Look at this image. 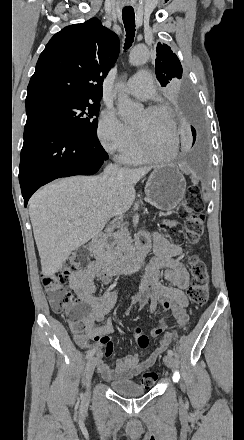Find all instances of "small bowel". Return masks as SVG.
Here are the masks:
<instances>
[{
  "instance_id": "1",
  "label": "small bowel",
  "mask_w": 244,
  "mask_h": 440,
  "mask_svg": "<svg viewBox=\"0 0 244 440\" xmlns=\"http://www.w3.org/2000/svg\"><path fill=\"white\" fill-rule=\"evenodd\" d=\"M141 242L147 247L153 246L155 257L147 266L139 293L133 297L132 302L143 306L149 301L151 312L155 311L158 305L171 311L176 319L177 330H182L189 323L186 310L189 302L184 292L189 286V275L179 260L182 248L157 232L142 233ZM161 276L169 285L162 283ZM95 277H98L104 285L110 284L113 280V274L106 272L100 262H93L70 276V287L77 299L87 307H91L92 311L89 316L91 326L86 327L87 337L73 338L74 342L84 351L87 348L95 349L96 354L92 361L105 380L131 379L154 364L167 349L176 331L165 333L163 324L149 329L150 337H160V339L145 359L141 360L138 354H134L118 359L114 366L110 365L106 359L112 357L114 353V343L110 336L113 323L110 319L100 325L97 323L103 321L114 307L118 291L111 288L104 295L95 296L97 290Z\"/></svg>"
}]
</instances>
